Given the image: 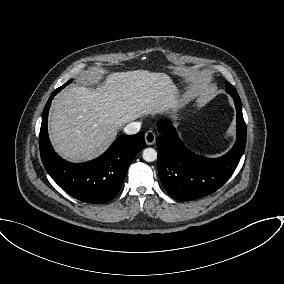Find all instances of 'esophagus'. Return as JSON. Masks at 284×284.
<instances>
[{"instance_id": "obj_1", "label": "esophagus", "mask_w": 284, "mask_h": 284, "mask_svg": "<svg viewBox=\"0 0 284 284\" xmlns=\"http://www.w3.org/2000/svg\"><path fill=\"white\" fill-rule=\"evenodd\" d=\"M156 140V135L153 131L149 130L145 133V142L147 145H153Z\"/></svg>"}]
</instances>
